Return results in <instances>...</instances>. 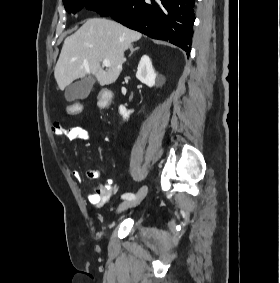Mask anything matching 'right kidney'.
Returning a JSON list of instances; mask_svg holds the SVG:
<instances>
[{
	"label": "right kidney",
	"instance_id": "obj_1",
	"mask_svg": "<svg viewBox=\"0 0 280 283\" xmlns=\"http://www.w3.org/2000/svg\"><path fill=\"white\" fill-rule=\"evenodd\" d=\"M136 77L149 87L160 85L164 81L162 76H158L155 73L151 60L147 55L142 56L137 68ZM132 112V110H127L123 105L119 107V113L123 116L124 120L128 119Z\"/></svg>",
	"mask_w": 280,
	"mask_h": 283
}]
</instances>
